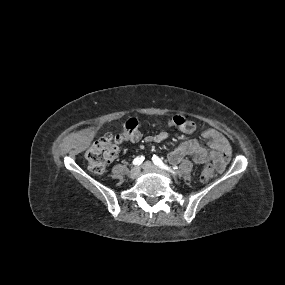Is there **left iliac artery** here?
I'll return each instance as SVG.
<instances>
[{"label": "left iliac artery", "instance_id": "obj_1", "mask_svg": "<svg viewBox=\"0 0 285 285\" xmlns=\"http://www.w3.org/2000/svg\"><path fill=\"white\" fill-rule=\"evenodd\" d=\"M152 162H153L156 166H158L159 168H162V169H164V170H167V171L171 172L172 174L176 175V172H175L174 170H172L168 165L164 164V163L162 162V160H161L158 156L153 155V156H152Z\"/></svg>", "mask_w": 285, "mask_h": 285}]
</instances>
